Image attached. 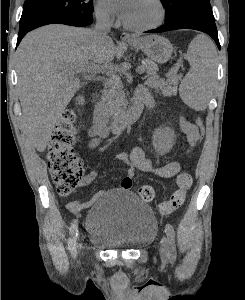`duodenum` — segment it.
<instances>
[{"mask_svg": "<svg viewBox=\"0 0 245 300\" xmlns=\"http://www.w3.org/2000/svg\"><path fill=\"white\" fill-rule=\"evenodd\" d=\"M150 105V97L145 92L138 91L134 96L131 106L123 115L110 118L103 108L98 93L96 92L92 104L94 122L110 132L118 133L135 123L140 117L143 108Z\"/></svg>", "mask_w": 245, "mask_h": 300, "instance_id": "1", "label": "duodenum"}]
</instances>
